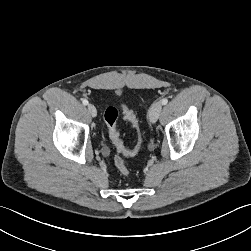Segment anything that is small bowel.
<instances>
[{
    "instance_id": "1",
    "label": "small bowel",
    "mask_w": 251,
    "mask_h": 251,
    "mask_svg": "<svg viewBox=\"0 0 251 251\" xmlns=\"http://www.w3.org/2000/svg\"><path fill=\"white\" fill-rule=\"evenodd\" d=\"M103 151H104V153H107V152H108V150H107L106 148H105Z\"/></svg>"
}]
</instances>
